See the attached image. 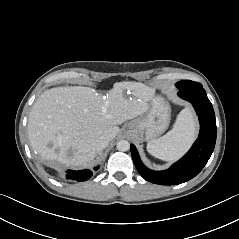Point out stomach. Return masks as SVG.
Masks as SVG:
<instances>
[{
	"mask_svg": "<svg viewBox=\"0 0 239 239\" xmlns=\"http://www.w3.org/2000/svg\"><path fill=\"white\" fill-rule=\"evenodd\" d=\"M170 123V106L162 96H154L150 101L148 111L140 117L132 120L127 130L151 141L160 136Z\"/></svg>",
	"mask_w": 239,
	"mask_h": 239,
	"instance_id": "0dacf381",
	"label": "stomach"
}]
</instances>
